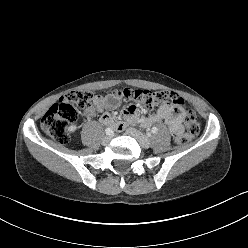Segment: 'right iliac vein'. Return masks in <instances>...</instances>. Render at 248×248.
Masks as SVG:
<instances>
[{
	"label": "right iliac vein",
	"mask_w": 248,
	"mask_h": 248,
	"mask_svg": "<svg viewBox=\"0 0 248 248\" xmlns=\"http://www.w3.org/2000/svg\"><path fill=\"white\" fill-rule=\"evenodd\" d=\"M110 141H111V136L106 135L102 138L101 143L103 145H107Z\"/></svg>",
	"instance_id": "1"
}]
</instances>
